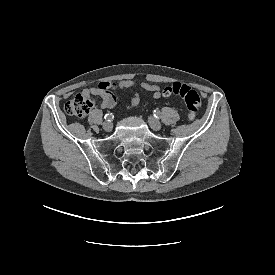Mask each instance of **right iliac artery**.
I'll return each instance as SVG.
<instances>
[{"label": "right iliac artery", "instance_id": "82829eb1", "mask_svg": "<svg viewBox=\"0 0 275 275\" xmlns=\"http://www.w3.org/2000/svg\"><path fill=\"white\" fill-rule=\"evenodd\" d=\"M104 118H105L107 121H111V120L114 118V116H113L112 114H106V115L104 116Z\"/></svg>", "mask_w": 275, "mask_h": 275}]
</instances>
